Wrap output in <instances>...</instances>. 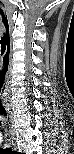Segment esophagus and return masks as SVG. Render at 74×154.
<instances>
[{
  "mask_svg": "<svg viewBox=\"0 0 74 154\" xmlns=\"http://www.w3.org/2000/svg\"><path fill=\"white\" fill-rule=\"evenodd\" d=\"M5 110L7 111V113L9 114V120H10V123L13 122V118H12V115H11V111H10V108H5ZM10 138H9V145H14V135H15V130H14V127L13 125L10 124Z\"/></svg>",
  "mask_w": 74,
  "mask_h": 154,
  "instance_id": "esophagus-1",
  "label": "esophagus"
}]
</instances>
